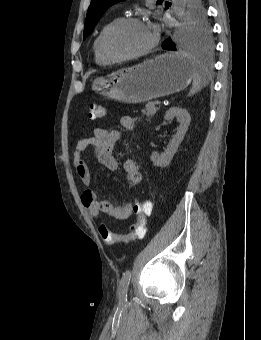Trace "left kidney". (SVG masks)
Returning a JSON list of instances; mask_svg holds the SVG:
<instances>
[{
    "mask_svg": "<svg viewBox=\"0 0 261 340\" xmlns=\"http://www.w3.org/2000/svg\"><path fill=\"white\" fill-rule=\"evenodd\" d=\"M175 117L177 118V121L180 123V125L177 128V132L173 136L172 141L169 143L163 153L158 154L157 152H152L150 156L151 161L157 167H166L170 163L180 143L184 139L188 126L190 125L191 117L186 109L171 107L166 112L164 119L171 120Z\"/></svg>",
    "mask_w": 261,
    "mask_h": 340,
    "instance_id": "left-kidney-1",
    "label": "left kidney"
}]
</instances>
